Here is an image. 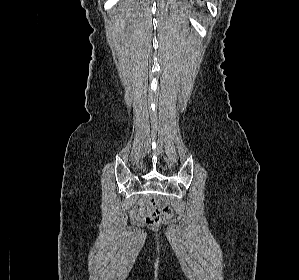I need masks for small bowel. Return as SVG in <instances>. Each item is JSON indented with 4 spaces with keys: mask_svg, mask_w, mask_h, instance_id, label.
<instances>
[{
    "mask_svg": "<svg viewBox=\"0 0 299 280\" xmlns=\"http://www.w3.org/2000/svg\"><path fill=\"white\" fill-rule=\"evenodd\" d=\"M151 211V205L147 202H143L139 204L134 210H133V216L138 219H142L146 217Z\"/></svg>",
    "mask_w": 299,
    "mask_h": 280,
    "instance_id": "1",
    "label": "small bowel"
}]
</instances>
